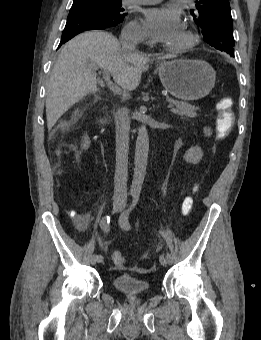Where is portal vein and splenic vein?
Returning <instances> with one entry per match:
<instances>
[{
  "label": "portal vein and splenic vein",
  "instance_id": "18ae733b",
  "mask_svg": "<svg viewBox=\"0 0 261 340\" xmlns=\"http://www.w3.org/2000/svg\"><path fill=\"white\" fill-rule=\"evenodd\" d=\"M96 69H97V68H96ZM101 74H102L104 80L106 81L109 90H110L112 93H114V94H119V93H120V88H119L116 84H114V83H112V82L110 81V74H109V72H108L106 69H102V70H101ZM173 106H174L173 104H168V105H167V108H168V109H172Z\"/></svg>",
  "mask_w": 261,
  "mask_h": 340
}]
</instances>
